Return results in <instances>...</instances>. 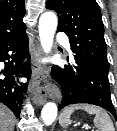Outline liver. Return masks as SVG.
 <instances>
[{
  "label": "liver",
  "mask_w": 117,
  "mask_h": 131,
  "mask_svg": "<svg viewBox=\"0 0 117 131\" xmlns=\"http://www.w3.org/2000/svg\"><path fill=\"white\" fill-rule=\"evenodd\" d=\"M15 119L13 113L0 103V131H14Z\"/></svg>",
  "instance_id": "1"
}]
</instances>
